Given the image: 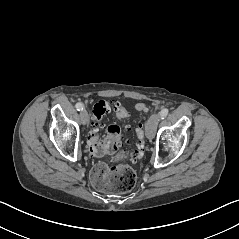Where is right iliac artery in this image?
<instances>
[{
    "mask_svg": "<svg viewBox=\"0 0 239 239\" xmlns=\"http://www.w3.org/2000/svg\"><path fill=\"white\" fill-rule=\"evenodd\" d=\"M75 107H76V109L78 110V111H82L83 109H84V106H83V104L82 103H77L76 105H75Z\"/></svg>",
    "mask_w": 239,
    "mask_h": 239,
    "instance_id": "1",
    "label": "right iliac artery"
}]
</instances>
